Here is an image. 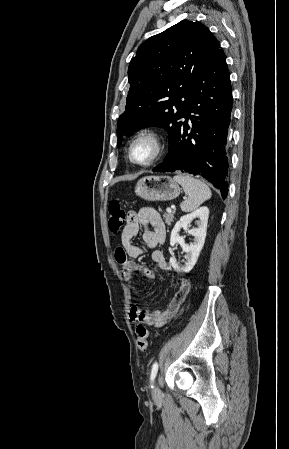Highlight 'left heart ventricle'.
Segmentation results:
<instances>
[{"label": "left heart ventricle", "instance_id": "obj_1", "mask_svg": "<svg viewBox=\"0 0 289 449\" xmlns=\"http://www.w3.org/2000/svg\"><path fill=\"white\" fill-rule=\"evenodd\" d=\"M154 152L153 144L148 140H142L133 147V157L138 162H144L151 158Z\"/></svg>", "mask_w": 289, "mask_h": 449}]
</instances>
